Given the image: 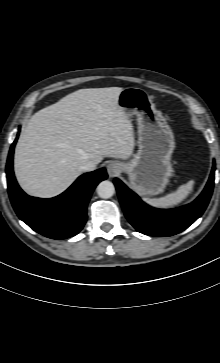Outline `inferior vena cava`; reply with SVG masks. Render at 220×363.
<instances>
[{"label": "inferior vena cava", "mask_w": 220, "mask_h": 363, "mask_svg": "<svg viewBox=\"0 0 220 363\" xmlns=\"http://www.w3.org/2000/svg\"><path fill=\"white\" fill-rule=\"evenodd\" d=\"M95 168H96V163L93 161H88L83 166H81V169L86 172L93 171L95 170Z\"/></svg>", "instance_id": "602c4592"}]
</instances>
